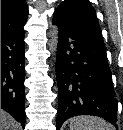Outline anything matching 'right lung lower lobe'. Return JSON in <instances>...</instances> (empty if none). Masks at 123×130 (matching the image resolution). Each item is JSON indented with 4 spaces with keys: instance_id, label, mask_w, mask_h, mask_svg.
I'll list each match as a JSON object with an SVG mask.
<instances>
[{
    "instance_id": "obj_1",
    "label": "right lung lower lobe",
    "mask_w": 123,
    "mask_h": 130,
    "mask_svg": "<svg viewBox=\"0 0 123 130\" xmlns=\"http://www.w3.org/2000/svg\"><path fill=\"white\" fill-rule=\"evenodd\" d=\"M24 26L1 29V108L25 126Z\"/></svg>"
}]
</instances>
